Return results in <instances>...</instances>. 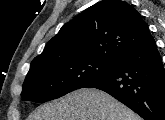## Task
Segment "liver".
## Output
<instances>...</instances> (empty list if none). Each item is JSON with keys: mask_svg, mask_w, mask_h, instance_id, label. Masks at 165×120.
Instances as JSON below:
<instances>
[{"mask_svg": "<svg viewBox=\"0 0 165 120\" xmlns=\"http://www.w3.org/2000/svg\"><path fill=\"white\" fill-rule=\"evenodd\" d=\"M29 120H141V118L107 93L93 88H83L38 107Z\"/></svg>", "mask_w": 165, "mask_h": 120, "instance_id": "6515ba94", "label": "liver"}]
</instances>
